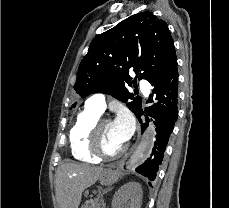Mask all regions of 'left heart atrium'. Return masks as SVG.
<instances>
[{
	"label": "left heart atrium",
	"instance_id": "left-heart-atrium-1",
	"mask_svg": "<svg viewBox=\"0 0 229 208\" xmlns=\"http://www.w3.org/2000/svg\"><path fill=\"white\" fill-rule=\"evenodd\" d=\"M112 124L121 140L127 141L130 139L134 130V121L128 110L120 109Z\"/></svg>",
	"mask_w": 229,
	"mask_h": 208
}]
</instances>
